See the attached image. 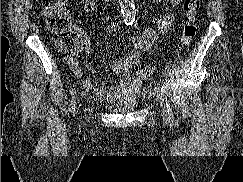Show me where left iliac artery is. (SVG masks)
I'll use <instances>...</instances> for the list:
<instances>
[{
  "label": "left iliac artery",
  "mask_w": 243,
  "mask_h": 182,
  "mask_svg": "<svg viewBox=\"0 0 243 182\" xmlns=\"http://www.w3.org/2000/svg\"><path fill=\"white\" fill-rule=\"evenodd\" d=\"M161 94L164 96V97H166V94H167V92H166V88H165V86L164 85H161ZM167 109H168V115H169V120H170V122H174V115H173V112H172V109L170 108V105L167 103Z\"/></svg>",
  "instance_id": "44dca946"
}]
</instances>
